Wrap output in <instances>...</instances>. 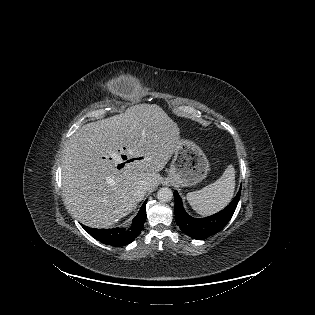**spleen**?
<instances>
[{
    "instance_id": "obj_1",
    "label": "spleen",
    "mask_w": 315,
    "mask_h": 315,
    "mask_svg": "<svg viewBox=\"0 0 315 315\" xmlns=\"http://www.w3.org/2000/svg\"><path fill=\"white\" fill-rule=\"evenodd\" d=\"M235 189V169L229 165L223 175L201 190L187 194V201L198 214L208 216L222 210L231 201Z\"/></svg>"
}]
</instances>
